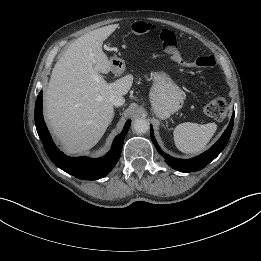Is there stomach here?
<instances>
[{
	"label": "stomach",
	"instance_id": "0dacf381",
	"mask_svg": "<svg viewBox=\"0 0 261 261\" xmlns=\"http://www.w3.org/2000/svg\"><path fill=\"white\" fill-rule=\"evenodd\" d=\"M112 66L118 72L125 65L123 61L114 59ZM150 75L153 81L149 95L152 109L158 118L166 119L183 106L184 92L165 71H152Z\"/></svg>",
	"mask_w": 261,
	"mask_h": 261
}]
</instances>
